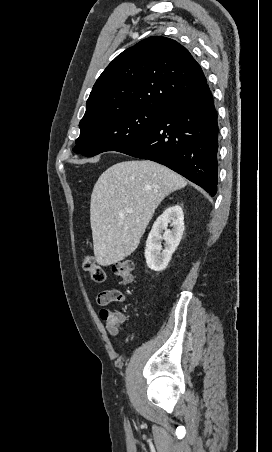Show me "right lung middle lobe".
I'll return each instance as SVG.
<instances>
[{
	"mask_svg": "<svg viewBox=\"0 0 272 452\" xmlns=\"http://www.w3.org/2000/svg\"><path fill=\"white\" fill-rule=\"evenodd\" d=\"M163 110L131 108L80 122V136L75 153L87 157L106 151H117L142 136L159 118Z\"/></svg>",
	"mask_w": 272,
	"mask_h": 452,
	"instance_id": "1",
	"label": "right lung middle lobe"
}]
</instances>
